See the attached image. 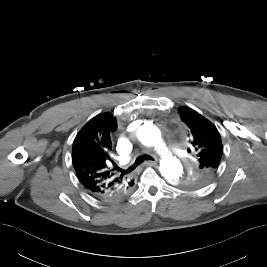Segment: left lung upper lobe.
Here are the masks:
<instances>
[{
	"label": "left lung upper lobe",
	"instance_id": "obj_1",
	"mask_svg": "<svg viewBox=\"0 0 267 267\" xmlns=\"http://www.w3.org/2000/svg\"><path fill=\"white\" fill-rule=\"evenodd\" d=\"M182 121L188 128V137L197 161L179 184L184 189L206 186L216 175L221 156L222 142L216 127L189 107L179 108ZM188 152H191L188 149Z\"/></svg>",
	"mask_w": 267,
	"mask_h": 267
}]
</instances>
